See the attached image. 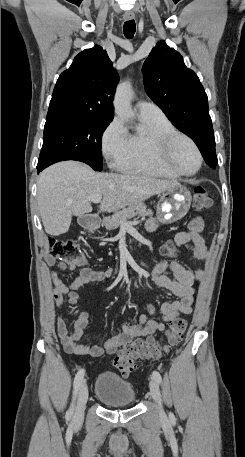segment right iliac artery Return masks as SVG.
Returning <instances> with one entry per match:
<instances>
[{
    "label": "right iliac artery",
    "mask_w": 245,
    "mask_h": 457,
    "mask_svg": "<svg viewBox=\"0 0 245 457\" xmlns=\"http://www.w3.org/2000/svg\"><path fill=\"white\" fill-rule=\"evenodd\" d=\"M84 373H85L84 369H81V370L78 371V373H77L76 376H75V379H74V391H73V402H72V404H71L70 409L67 411V414H66V416H67L68 419H69V418L72 416V414H73V411H74V401H75L76 396H77V394H78V391H79V389H80V387H81V385H82V383H83Z\"/></svg>",
    "instance_id": "82829eb1"
}]
</instances>
